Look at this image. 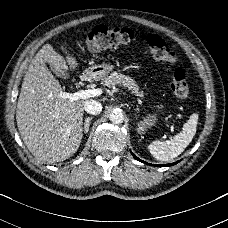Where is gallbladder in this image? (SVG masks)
<instances>
[{"instance_id": "obj_1", "label": "gallbladder", "mask_w": 228, "mask_h": 228, "mask_svg": "<svg viewBox=\"0 0 228 228\" xmlns=\"http://www.w3.org/2000/svg\"><path fill=\"white\" fill-rule=\"evenodd\" d=\"M50 66H51V65H50ZM52 70H53L54 74H55V75H57L58 77H62V78H64V77H66V76H67V74H62V73H60V72L56 71V70H55V69H53V68H52Z\"/></svg>"}]
</instances>
